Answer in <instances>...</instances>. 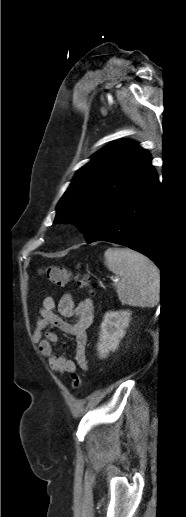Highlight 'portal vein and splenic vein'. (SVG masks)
<instances>
[{"mask_svg": "<svg viewBox=\"0 0 186 517\" xmlns=\"http://www.w3.org/2000/svg\"><path fill=\"white\" fill-rule=\"evenodd\" d=\"M118 280H119L118 278H114L113 279L114 282H118Z\"/></svg>", "mask_w": 186, "mask_h": 517, "instance_id": "portal-vein-and-splenic-vein-1", "label": "portal vein and splenic vein"}]
</instances>
